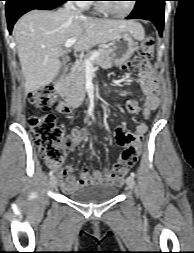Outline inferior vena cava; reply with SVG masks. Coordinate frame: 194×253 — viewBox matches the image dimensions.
I'll return each mask as SVG.
<instances>
[{
  "label": "inferior vena cava",
  "instance_id": "1",
  "mask_svg": "<svg viewBox=\"0 0 194 253\" xmlns=\"http://www.w3.org/2000/svg\"><path fill=\"white\" fill-rule=\"evenodd\" d=\"M65 8L80 13L79 11H77V9H76V7L74 6V4L72 3V1H68V2L65 4Z\"/></svg>",
  "mask_w": 194,
  "mask_h": 253
}]
</instances>
